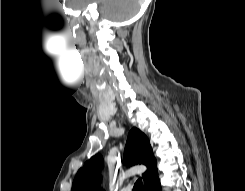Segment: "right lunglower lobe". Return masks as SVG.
Instances as JSON below:
<instances>
[{"instance_id":"1","label":"right lung lower lobe","mask_w":245,"mask_h":191,"mask_svg":"<svg viewBox=\"0 0 245 191\" xmlns=\"http://www.w3.org/2000/svg\"><path fill=\"white\" fill-rule=\"evenodd\" d=\"M144 191H162L159 177L155 178L152 182L144 187Z\"/></svg>"}]
</instances>
